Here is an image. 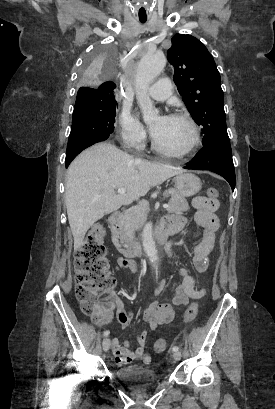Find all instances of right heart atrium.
I'll return each instance as SVG.
<instances>
[{"mask_svg": "<svg viewBox=\"0 0 275 409\" xmlns=\"http://www.w3.org/2000/svg\"><path fill=\"white\" fill-rule=\"evenodd\" d=\"M119 138L122 143L130 147H139L146 139V131L138 118L127 108L123 107L118 116Z\"/></svg>", "mask_w": 275, "mask_h": 409, "instance_id": "d8ad5b80", "label": "right heart atrium"}]
</instances>
